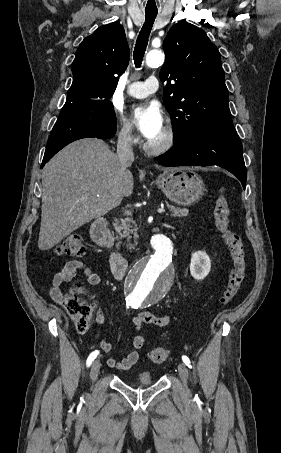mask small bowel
Here are the masks:
<instances>
[{
    "instance_id": "1",
    "label": "small bowel",
    "mask_w": 281,
    "mask_h": 453,
    "mask_svg": "<svg viewBox=\"0 0 281 453\" xmlns=\"http://www.w3.org/2000/svg\"><path fill=\"white\" fill-rule=\"evenodd\" d=\"M81 271L84 278L92 286H98L100 284V275L97 272L92 271L88 268L81 260L72 259L69 260L65 266L58 272H56L50 282L47 285V291L50 297L59 305L66 306L68 304L67 298L62 291L63 283L72 281L77 273ZM188 294L183 293V297L186 298ZM96 321L102 323L103 315L101 312H96ZM169 315L154 316L147 311L140 312L135 318L134 323L137 326L143 324H152L156 326H165L169 323ZM144 339L141 336H135L132 340V350L123 359L108 358L106 363L109 367L121 370L130 369L138 361V351L143 347ZM100 349L104 353L111 351V344L106 340L100 341Z\"/></svg>"
}]
</instances>
